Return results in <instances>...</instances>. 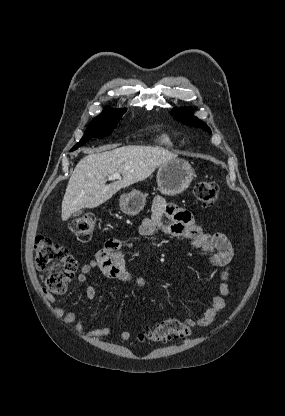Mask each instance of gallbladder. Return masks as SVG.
Instances as JSON below:
<instances>
[{"label":"gallbladder","mask_w":285,"mask_h":416,"mask_svg":"<svg viewBox=\"0 0 285 416\" xmlns=\"http://www.w3.org/2000/svg\"><path fill=\"white\" fill-rule=\"evenodd\" d=\"M80 214H82V210H78V212H75V214H73V216H80Z\"/></svg>","instance_id":"1"}]
</instances>
